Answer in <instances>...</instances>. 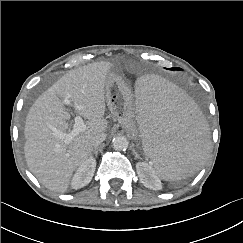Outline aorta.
Returning <instances> with one entry per match:
<instances>
[{"instance_id": "762f6f07", "label": "aorta", "mask_w": 243, "mask_h": 243, "mask_svg": "<svg viewBox=\"0 0 243 243\" xmlns=\"http://www.w3.org/2000/svg\"><path fill=\"white\" fill-rule=\"evenodd\" d=\"M128 139L125 136H117L112 140V146L115 150L125 151L128 148Z\"/></svg>"}]
</instances>
